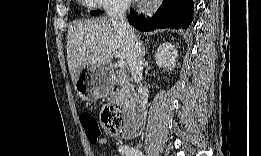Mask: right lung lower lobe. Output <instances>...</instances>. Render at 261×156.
I'll return each instance as SVG.
<instances>
[{
  "label": "right lung lower lobe",
  "mask_w": 261,
  "mask_h": 156,
  "mask_svg": "<svg viewBox=\"0 0 261 156\" xmlns=\"http://www.w3.org/2000/svg\"><path fill=\"white\" fill-rule=\"evenodd\" d=\"M193 10L192 0H163L152 17L132 13L131 9L128 21L141 31H152L157 28L186 29L193 20Z\"/></svg>",
  "instance_id": "obj_1"
}]
</instances>
